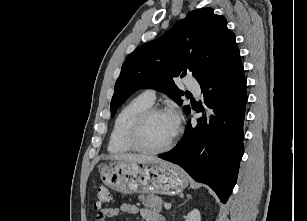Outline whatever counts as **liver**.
I'll list each match as a JSON object with an SVG mask.
<instances>
[{"instance_id": "1", "label": "liver", "mask_w": 307, "mask_h": 221, "mask_svg": "<svg viewBox=\"0 0 307 221\" xmlns=\"http://www.w3.org/2000/svg\"><path fill=\"white\" fill-rule=\"evenodd\" d=\"M106 159L116 160V161H126V162H153L162 161L161 159L154 156H146L140 154H117L106 157Z\"/></svg>"}]
</instances>
